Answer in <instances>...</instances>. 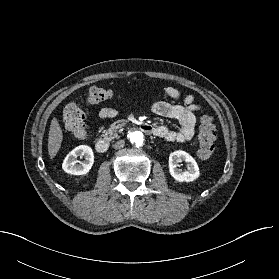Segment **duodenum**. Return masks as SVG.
<instances>
[{"label": "duodenum", "mask_w": 279, "mask_h": 279, "mask_svg": "<svg viewBox=\"0 0 279 279\" xmlns=\"http://www.w3.org/2000/svg\"><path fill=\"white\" fill-rule=\"evenodd\" d=\"M140 128L143 132H145L147 134L155 133V128L148 123H142L140 125ZM95 148L99 153H105L109 149V140L106 138L98 139L95 144Z\"/></svg>", "instance_id": "duodenum-1"}]
</instances>
